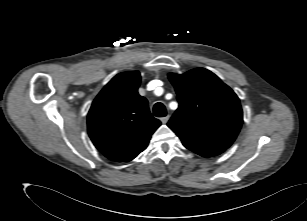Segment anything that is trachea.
Returning <instances> with one entry per match:
<instances>
[{
    "instance_id": "1",
    "label": "trachea",
    "mask_w": 307,
    "mask_h": 221,
    "mask_svg": "<svg viewBox=\"0 0 307 221\" xmlns=\"http://www.w3.org/2000/svg\"><path fill=\"white\" fill-rule=\"evenodd\" d=\"M153 113L156 117L166 116L167 112L164 104H162L161 102L156 103L153 107Z\"/></svg>"
}]
</instances>
